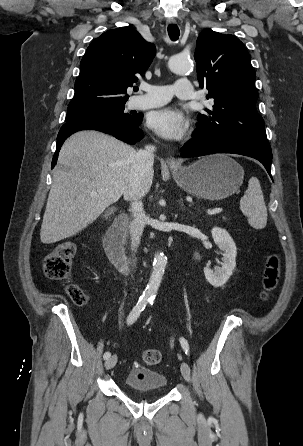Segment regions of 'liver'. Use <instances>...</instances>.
Listing matches in <instances>:
<instances>
[{
	"label": "liver",
	"mask_w": 303,
	"mask_h": 446,
	"mask_svg": "<svg viewBox=\"0 0 303 446\" xmlns=\"http://www.w3.org/2000/svg\"><path fill=\"white\" fill-rule=\"evenodd\" d=\"M136 151L103 133L81 131L63 144L58 168L53 174L40 239L52 244L72 237L97 219L122 195L131 199L129 182ZM154 171L144 183V194L152 184ZM91 192H96L91 196Z\"/></svg>",
	"instance_id": "6515ba94"
}]
</instances>
